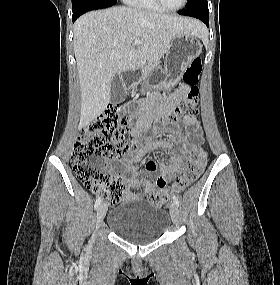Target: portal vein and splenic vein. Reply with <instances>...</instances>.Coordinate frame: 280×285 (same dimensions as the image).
<instances>
[{
    "label": "portal vein and splenic vein",
    "mask_w": 280,
    "mask_h": 285,
    "mask_svg": "<svg viewBox=\"0 0 280 285\" xmlns=\"http://www.w3.org/2000/svg\"><path fill=\"white\" fill-rule=\"evenodd\" d=\"M134 44H135V45H139V44H140V40L136 38V39L134 40Z\"/></svg>",
    "instance_id": "18ae733b"
}]
</instances>
